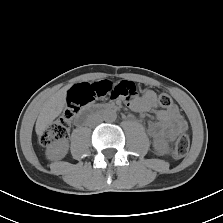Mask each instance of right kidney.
<instances>
[{
  "instance_id": "right-kidney-1",
  "label": "right kidney",
  "mask_w": 223,
  "mask_h": 223,
  "mask_svg": "<svg viewBox=\"0 0 223 223\" xmlns=\"http://www.w3.org/2000/svg\"><path fill=\"white\" fill-rule=\"evenodd\" d=\"M69 149V144L65 140H57L53 142L46 151L48 159H61L65 157Z\"/></svg>"
}]
</instances>
